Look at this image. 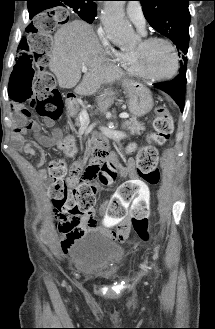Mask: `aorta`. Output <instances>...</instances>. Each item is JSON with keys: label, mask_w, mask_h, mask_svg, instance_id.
I'll return each mask as SVG.
<instances>
[{"label": "aorta", "mask_w": 215, "mask_h": 329, "mask_svg": "<svg viewBox=\"0 0 215 329\" xmlns=\"http://www.w3.org/2000/svg\"><path fill=\"white\" fill-rule=\"evenodd\" d=\"M125 1H108L102 16L103 27L112 42L128 47L134 42V31L124 16Z\"/></svg>", "instance_id": "aorta-1"}]
</instances>
